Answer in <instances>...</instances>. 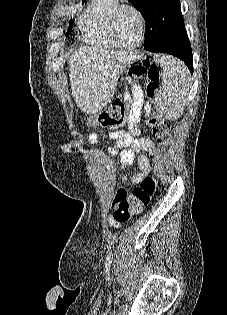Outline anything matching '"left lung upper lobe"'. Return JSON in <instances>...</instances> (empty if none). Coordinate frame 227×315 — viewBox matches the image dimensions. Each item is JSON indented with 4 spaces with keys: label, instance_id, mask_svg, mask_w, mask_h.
<instances>
[{
    "label": "left lung upper lobe",
    "instance_id": "obj_1",
    "mask_svg": "<svg viewBox=\"0 0 227 315\" xmlns=\"http://www.w3.org/2000/svg\"><path fill=\"white\" fill-rule=\"evenodd\" d=\"M146 21L145 45H159L185 32L180 0H129Z\"/></svg>",
    "mask_w": 227,
    "mask_h": 315
}]
</instances>
